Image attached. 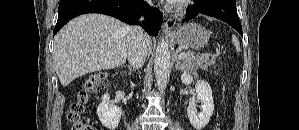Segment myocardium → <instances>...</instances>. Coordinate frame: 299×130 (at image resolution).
I'll return each instance as SVG.
<instances>
[{
    "mask_svg": "<svg viewBox=\"0 0 299 130\" xmlns=\"http://www.w3.org/2000/svg\"><path fill=\"white\" fill-rule=\"evenodd\" d=\"M190 2L191 1H189V0L180 1L176 6L177 13H182L186 9V7L188 6V4Z\"/></svg>",
    "mask_w": 299,
    "mask_h": 130,
    "instance_id": "1",
    "label": "myocardium"
}]
</instances>
